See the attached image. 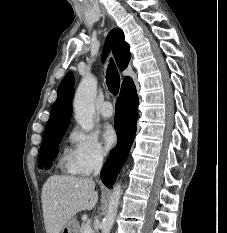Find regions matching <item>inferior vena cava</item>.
Here are the masks:
<instances>
[{"label": "inferior vena cava", "mask_w": 227, "mask_h": 233, "mask_svg": "<svg viewBox=\"0 0 227 233\" xmlns=\"http://www.w3.org/2000/svg\"><path fill=\"white\" fill-rule=\"evenodd\" d=\"M103 163V155L97 154L95 157V163H94V176L98 175L101 171Z\"/></svg>", "instance_id": "obj_1"}]
</instances>
